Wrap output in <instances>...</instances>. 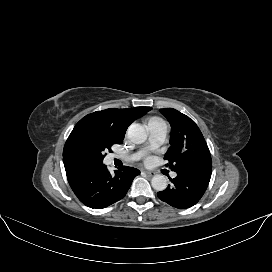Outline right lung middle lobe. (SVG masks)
<instances>
[{"label":"right lung middle lobe","mask_w":272,"mask_h":272,"mask_svg":"<svg viewBox=\"0 0 272 272\" xmlns=\"http://www.w3.org/2000/svg\"><path fill=\"white\" fill-rule=\"evenodd\" d=\"M122 141L105 130L77 123L65 143L64 151L84 166L100 165L106 155L104 152H111V146Z\"/></svg>","instance_id":"1"}]
</instances>
